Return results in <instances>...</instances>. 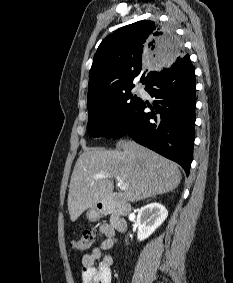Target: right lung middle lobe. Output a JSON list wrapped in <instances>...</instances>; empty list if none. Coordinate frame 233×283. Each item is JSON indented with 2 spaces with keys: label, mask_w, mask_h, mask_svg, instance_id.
<instances>
[{
  "label": "right lung middle lobe",
  "mask_w": 233,
  "mask_h": 283,
  "mask_svg": "<svg viewBox=\"0 0 233 283\" xmlns=\"http://www.w3.org/2000/svg\"><path fill=\"white\" fill-rule=\"evenodd\" d=\"M132 87L114 93L100 102L88 106L89 134L111 138L119 125L140 101L131 93Z\"/></svg>",
  "instance_id": "obj_1"
}]
</instances>
